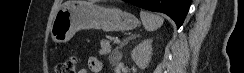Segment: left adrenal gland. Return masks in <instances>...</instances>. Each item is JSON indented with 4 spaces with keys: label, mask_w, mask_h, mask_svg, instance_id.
I'll return each instance as SVG.
<instances>
[{
    "label": "left adrenal gland",
    "mask_w": 244,
    "mask_h": 73,
    "mask_svg": "<svg viewBox=\"0 0 244 73\" xmlns=\"http://www.w3.org/2000/svg\"><path fill=\"white\" fill-rule=\"evenodd\" d=\"M140 35L139 34H133V35H130L127 39H125L120 45H119V47L117 48V49H122V47L124 46V45H126L130 40H132V39H136L137 37H139Z\"/></svg>",
    "instance_id": "1"
}]
</instances>
